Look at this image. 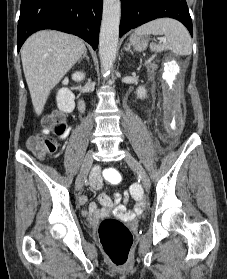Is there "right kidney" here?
Instances as JSON below:
<instances>
[{"mask_svg":"<svg viewBox=\"0 0 227 279\" xmlns=\"http://www.w3.org/2000/svg\"><path fill=\"white\" fill-rule=\"evenodd\" d=\"M85 77V74L83 72H75L72 75V79L74 81H82ZM69 82L68 78H65L63 80V84L67 85ZM57 100V106L58 108L66 113H71L75 108V95L72 91H70L68 88H62L57 92L56 96Z\"/></svg>","mask_w":227,"mask_h":279,"instance_id":"1","label":"right kidney"}]
</instances>
